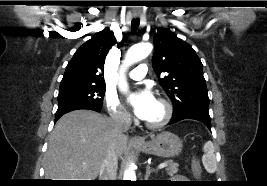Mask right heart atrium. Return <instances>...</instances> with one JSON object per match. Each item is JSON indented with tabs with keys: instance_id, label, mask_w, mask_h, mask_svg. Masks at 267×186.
<instances>
[{
	"instance_id": "right-heart-atrium-1",
	"label": "right heart atrium",
	"mask_w": 267,
	"mask_h": 186,
	"mask_svg": "<svg viewBox=\"0 0 267 186\" xmlns=\"http://www.w3.org/2000/svg\"><path fill=\"white\" fill-rule=\"evenodd\" d=\"M105 104L107 106L110 117L120 123L127 124L131 117L123 105L119 102L117 96L112 92H106Z\"/></svg>"
}]
</instances>
